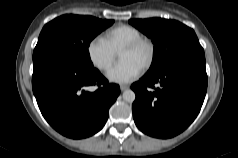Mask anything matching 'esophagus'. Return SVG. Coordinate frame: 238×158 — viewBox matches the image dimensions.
Returning a JSON list of instances; mask_svg holds the SVG:
<instances>
[{
    "instance_id": "esophagus-1",
    "label": "esophagus",
    "mask_w": 238,
    "mask_h": 158,
    "mask_svg": "<svg viewBox=\"0 0 238 158\" xmlns=\"http://www.w3.org/2000/svg\"><path fill=\"white\" fill-rule=\"evenodd\" d=\"M128 88H129L128 85H121V86H120V90H121V91H125V90H127Z\"/></svg>"
}]
</instances>
